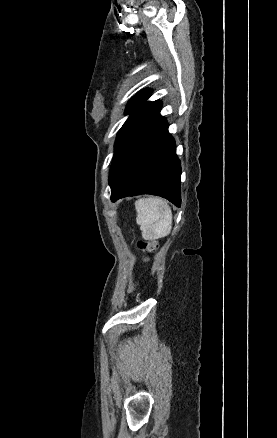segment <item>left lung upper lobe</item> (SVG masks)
Masks as SVG:
<instances>
[{
	"label": "left lung upper lobe",
	"instance_id": "5c2ea615",
	"mask_svg": "<svg viewBox=\"0 0 277 438\" xmlns=\"http://www.w3.org/2000/svg\"><path fill=\"white\" fill-rule=\"evenodd\" d=\"M150 94H151V90L144 89L141 92H139L137 95H135L128 103L126 114L130 113V116L123 124L121 129L118 131L114 145L115 153L109 174L110 186H112L115 183L118 174L122 168L123 162L125 160V157L127 155L128 149L131 144L134 124L136 122V119L139 115V112L143 104L148 99Z\"/></svg>",
	"mask_w": 277,
	"mask_h": 438
}]
</instances>
